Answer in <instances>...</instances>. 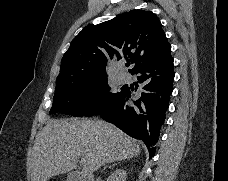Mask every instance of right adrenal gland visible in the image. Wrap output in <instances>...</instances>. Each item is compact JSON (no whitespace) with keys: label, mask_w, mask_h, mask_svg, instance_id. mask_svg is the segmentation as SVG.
I'll return each mask as SVG.
<instances>
[{"label":"right adrenal gland","mask_w":228,"mask_h":181,"mask_svg":"<svg viewBox=\"0 0 228 181\" xmlns=\"http://www.w3.org/2000/svg\"><path fill=\"white\" fill-rule=\"evenodd\" d=\"M125 159L123 161H118V163H112V165H109V167H104L103 171H106V169H113L115 165H120V163H124Z\"/></svg>","instance_id":"right-adrenal-gland-1"}]
</instances>
